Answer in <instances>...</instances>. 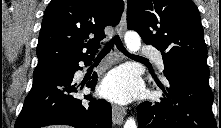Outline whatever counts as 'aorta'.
Returning <instances> with one entry per match:
<instances>
[{
  "label": "aorta",
  "mask_w": 221,
  "mask_h": 128,
  "mask_svg": "<svg viewBox=\"0 0 221 128\" xmlns=\"http://www.w3.org/2000/svg\"><path fill=\"white\" fill-rule=\"evenodd\" d=\"M125 43L127 46V49L130 52H137L140 47H141V38L138 35V33L134 32V31H128L125 34ZM124 128H137L136 122L134 120V118L130 117L127 119V121L124 124Z\"/></svg>",
  "instance_id": "762f6f07"
}]
</instances>
